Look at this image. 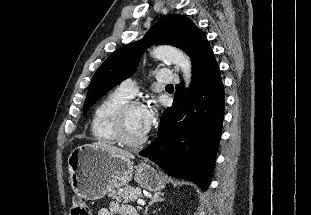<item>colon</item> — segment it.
<instances>
[{
	"label": "colon",
	"mask_w": 311,
	"mask_h": 215,
	"mask_svg": "<svg viewBox=\"0 0 311 215\" xmlns=\"http://www.w3.org/2000/svg\"><path fill=\"white\" fill-rule=\"evenodd\" d=\"M71 215H90V209L88 204L81 198H73Z\"/></svg>",
	"instance_id": "5ec220e1"
}]
</instances>
